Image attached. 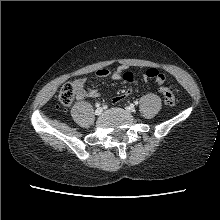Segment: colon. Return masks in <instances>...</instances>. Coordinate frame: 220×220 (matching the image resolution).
Here are the masks:
<instances>
[{"mask_svg":"<svg viewBox=\"0 0 220 220\" xmlns=\"http://www.w3.org/2000/svg\"><path fill=\"white\" fill-rule=\"evenodd\" d=\"M145 76L148 78L155 79L158 84H160L159 91L162 94L164 98V102L168 106H174L176 104V96L173 93L172 89L165 85V76L160 73L155 68H149L145 72ZM134 73L132 71H125L122 74V79L127 83H132L134 80ZM129 88L124 92V94H128ZM76 95V88L73 82H68L60 90L59 96H58V103L61 107L67 108L69 107Z\"/></svg>","mask_w":220,"mask_h":220,"instance_id":"colon-1","label":"colon"}]
</instances>
